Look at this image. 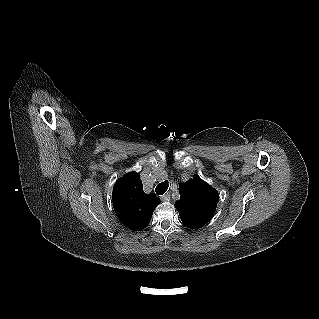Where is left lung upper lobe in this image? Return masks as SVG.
<instances>
[{"mask_svg": "<svg viewBox=\"0 0 319 319\" xmlns=\"http://www.w3.org/2000/svg\"><path fill=\"white\" fill-rule=\"evenodd\" d=\"M180 200L175 203L182 223L198 229L210 221L218 202V192L196 177L179 185Z\"/></svg>", "mask_w": 319, "mask_h": 319, "instance_id": "obj_1", "label": "left lung upper lobe"}]
</instances>
